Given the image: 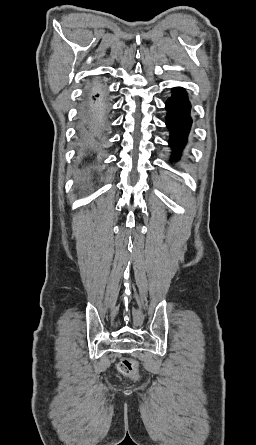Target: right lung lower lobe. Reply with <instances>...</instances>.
<instances>
[{
    "mask_svg": "<svg viewBox=\"0 0 256 445\" xmlns=\"http://www.w3.org/2000/svg\"><path fill=\"white\" fill-rule=\"evenodd\" d=\"M107 100L99 87L88 90L80 109L82 131L90 136V143L95 145L101 140L106 125Z\"/></svg>",
    "mask_w": 256,
    "mask_h": 445,
    "instance_id": "right-lung-lower-lobe-1",
    "label": "right lung lower lobe"
}]
</instances>
